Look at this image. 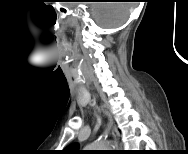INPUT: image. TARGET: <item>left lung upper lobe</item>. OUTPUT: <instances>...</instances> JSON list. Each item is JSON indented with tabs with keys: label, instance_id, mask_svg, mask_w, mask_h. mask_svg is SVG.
Here are the masks:
<instances>
[{
	"label": "left lung upper lobe",
	"instance_id": "left-lung-upper-lobe-1",
	"mask_svg": "<svg viewBox=\"0 0 188 154\" xmlns=\"http://www.w3.org/2000/svg\"><path fill=\"white\" fill-rule=\"evenodd\" d=\"M79 146L77 143H73L66 147L65 151H67L70 154H80L82 151L78 150Z\"/></svg>",
	"mask_w": 188,
	"mask_h": 154
}]
</instances>
